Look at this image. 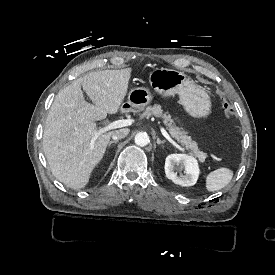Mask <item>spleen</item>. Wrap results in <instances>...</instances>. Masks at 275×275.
Listing matches in <instances>:
<instances>
[{
  "instance_id": "1",
  "label": "spleen",
  "mask_w": 275,
  "mask_h": 275,
  "mask_svg": "<svg viewBox=\"0 0 275 275\" xmlns=\"http://www.w3.org/2000/svg\"><path fill=\"white\" fill-rule=\"evenodd\" d=\"M233 177V172L228 168H219L209 173L206 178L208 191H217L228 185Z\"/></svg>"
}]
</instances>
